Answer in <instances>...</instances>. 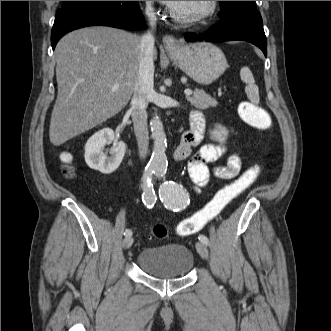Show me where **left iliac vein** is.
<instances>
[{"mask_svg": "<svg viewBox=\"0 0 331 331\" xmlns=\"http://www.w3.org/2000/svg\"><path fill=\"white\" fill-rule=\"evenodd\" d=\"M196 249L198 251V253L200 254V256L204 259H208L209 257V254H208V249H207V246L206 244H204L203 242H197L196 243Z\"/></svg>", "mask_w": 331, "mask_h": 331, "instance_id": "1", "label": "left iliac vein"}]
</instances>
